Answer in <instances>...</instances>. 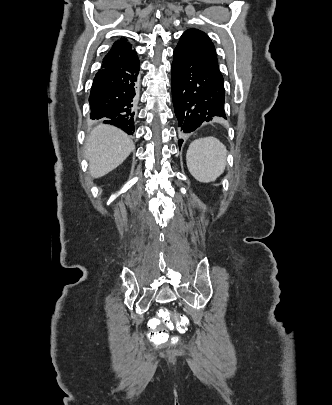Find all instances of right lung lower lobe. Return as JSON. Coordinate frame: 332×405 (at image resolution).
<instances>
[{"instance_id": "right-lung-lower-lobe-1", "label": "right lung lower lobe", "mask_w": 332, "mask_h": 405, "mask_svg": "<svg viewBox=\"0 0 332 405\" xmlns=\"http://www.w3.org/2000/svg\"><path fill=\"white\" fill-rule=\"evenodd\" d=\"M139 64L135 58L124 65L102 68L96 73L89 96L91 119L108 118L104 123L133 134Z\"/></svg>"}]
</instances>
